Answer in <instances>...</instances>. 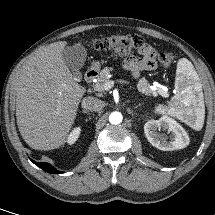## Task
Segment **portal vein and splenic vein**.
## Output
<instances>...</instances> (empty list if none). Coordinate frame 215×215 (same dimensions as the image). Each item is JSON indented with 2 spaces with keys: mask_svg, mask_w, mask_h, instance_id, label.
<instances>
[{
  "mask_svg": "<svg viewBox=\"0 0 215 215\" xmlns=\"http://www.w3.org/2000/svg\"><path fill=\"white\" fill-rule=\"evenodd\" d=\"M114 81H108L104 84V90H109L114 86Z\"/></svg>",
  "mask_w": 215,
  "mask_h": 215,
  "instance_id": "18ae733b",
  "label": "portal vein and splenic vein"
}]
</instances>
